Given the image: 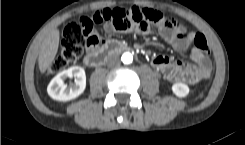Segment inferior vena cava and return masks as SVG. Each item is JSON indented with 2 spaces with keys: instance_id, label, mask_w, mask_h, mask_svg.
<instances>
[{
  "instance_id": "inferior-vena-cava-1",
  "label": "inferior vena cava",
  "mask_w": 245,
  "mask_h": 145,
  "mask_svg": "<svg viewBox=\"0 0 245 145\" xmlns=\"http://www.w3.org/2000/svg\"><path fill=\"white\" fill-rule=\"evenodd\" d=\"M119 64H120V60L117 57H112L108 61V66L110 67L118 66Z\"/></svg>"
}]
</instances>
